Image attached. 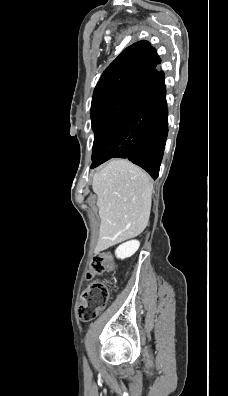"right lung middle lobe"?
<instances>
[{
	"mask_svg": "<svg viewBox=\"0 0 228 396\" xmlns=\"http://www.w3.org/2000/svg\"><path fill=\"white\" fill-rule=\"evenodd\" d=\"M145 75V70H138L96 86L91 105L94 130L92 163L113 123L125 109Z\"/></svg>",
	"mask_w": 228,
	"mask_h": 396,
	"instance_id": "1",
	"label": "right lung middle lobe"
}]
</instances>
